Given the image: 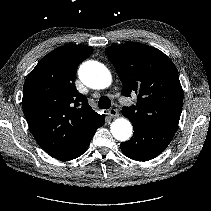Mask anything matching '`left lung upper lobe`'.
<instances>
[{
  "label": "left lung upper lobe",
  "instance_id": "1",
  "mask_svg": "<svg viewBox=\"0 0 211 211\" xmlns=\"http://www.w3.org/2000/svg\"><path fill=\"white\" fill-rule=\"evenodd\" d=\"M105 52L122 81V94L138 95L136 105L122 108L123 115L138 125L177 129L183 91L173 62L160 50L137 43Z\"/></svg>",
  "mask_w": 211,
  "mask_h": 211
}]
</instances>
